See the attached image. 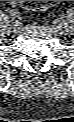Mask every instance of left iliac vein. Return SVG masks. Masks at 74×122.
Returning a JSON list of instances; mask_svg holds the SVG:
<instances>
[{"mask_svg": "<svg viewBox=\"0 0 74 122\" xmlns=\"http://www.w3.org/2000/svg\"><path fill=\"white\" fill-rule=\"evenodd\" d=\"M61 21H63V20H60L58 22L60 23ZM50 30L57 35L63 34V30L61 29V27L59 25H51Z\"/></svg>", "mask_w": 74, "mask_h": 122, "instance_id": "obj_1", "label": "left iliac vein"}]
</instances>
